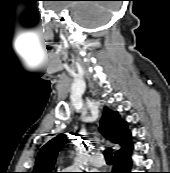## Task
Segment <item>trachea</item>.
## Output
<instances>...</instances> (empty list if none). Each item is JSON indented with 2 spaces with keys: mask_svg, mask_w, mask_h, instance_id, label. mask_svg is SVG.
Segmentation results:
<instances>
[{
  "mask_svg": "<svg viewBox=\"0 0 170 173\" xmlns=\"http://www.w3.org/2000/svg\"><path fill=\"white\" fill-rule=\"evenodd\" d=\"M112 152V148H107L106 150H104V157L107 161H113Z\"/></svg>",
  "mask_w": 170,
  "mask_h": 173,
  "instance_id": "obj_1",
  "label": "trachea"
}]
</instances>
